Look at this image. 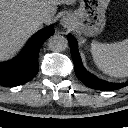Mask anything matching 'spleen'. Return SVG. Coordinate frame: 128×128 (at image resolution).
<instances>
[{
  "instance_id": "spleen-1",
  "label": "spleen",
  "mask_w": 128,
  "mask_h": 128,
  "mask_svg": "<svg viewBox=\"0 0 128 128\" xmlns=\"http://www.w3.org/2000/svg\"><path fill=\"white\" fill-rule=\"evenodd\" d=\"M91 53L97 67L113 77L128 76V39L119 43H91Z\"/></svg>"
}]
</instances>
